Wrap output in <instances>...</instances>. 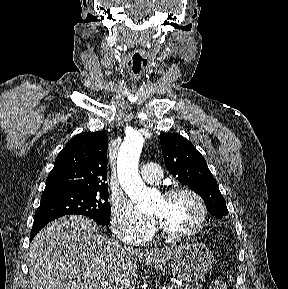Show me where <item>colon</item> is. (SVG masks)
Listing matches in <instances>:
<instances>
[{"mask_svg": "<svg viewBox=\"0 0 288 289\" xmlns=\"http://www.w3.org/2000/svg\"><path fill=\"white\" fill-rule=\"evenodd\" d=\"M209 289H229L227 283L222 278H214L209 283Z\"/></svg>", "mask_w": 288, "mask_h": 289, "instance_id": "1", "label": "colon"}]
</instances>
